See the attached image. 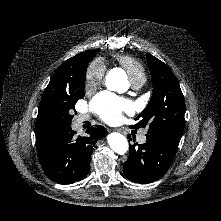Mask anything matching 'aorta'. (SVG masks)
<instances>
[{
    "instance_id": "aorta-1",
    "label": "aorta",
    "mask_w": 221,
    "mask_h": 221,
    "mask_svg": "<svg viewBox=\"0 0 221 221\" xmlns=\"http://www.w3.org/2000/svg\"><path fill=\"white\" fill-rule=\"evenodd\" d=\"M127 84V78L124 71L111 70L106 76V86L112 91H119ZM111 149L120 154H125L129 149L126 137L118 132H113L107 137Z\"/></svg>"
}]
</instances>
